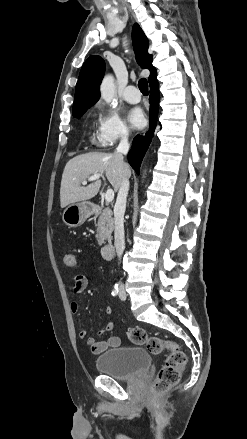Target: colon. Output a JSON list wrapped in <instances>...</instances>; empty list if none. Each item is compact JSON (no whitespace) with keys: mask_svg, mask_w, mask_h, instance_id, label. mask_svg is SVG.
Masks as SVG:
<instances>
[{"mask_svg":"<svg viewBox=\"0 0 247 439\" xmlns=\"http://www.w3.org/2000/svg\"><path fill=\"white\" fill-rule=\"evenodd\" d=\"M63 262L67 267H75L77 265L76 256L72 253H66L63 257ZM128 338L133 344L145 345L152 354H160L167 350L166 360L152 385V392L154 394L164 393L179 382L187 366V357L178 345L171 341H163L158 337L149 336L144 329L139 327L130 329L128 331Z\"/></svg>","mask_w":247,"mask_h":439,"instance_id":"1","label":"colon"}]
</instances>
